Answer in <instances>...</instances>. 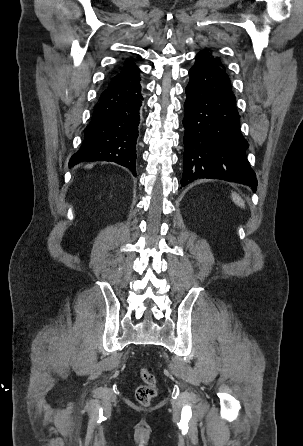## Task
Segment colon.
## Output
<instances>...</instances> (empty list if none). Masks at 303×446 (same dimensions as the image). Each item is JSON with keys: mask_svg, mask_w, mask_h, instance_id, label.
Wrapping results in <instances>:
<instances>
[{"mask_svg": "<svg viewBox=\"0 0 303 446\" xmlns=\"http://www.w3.org/2000/svg\"><path fill=\"white\" fill-rule=\"evenodd\" d=\"M139 375L142 383L136 389V401L141 405H149L158 394L157 381L154 374L145 367L139 370Z\"/></svg>", "mask_w": 303, "mask_h": 446, "instance_id": "colon-1", "label": "colon"}]
</instances>
